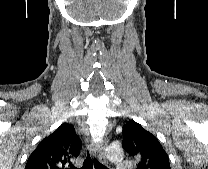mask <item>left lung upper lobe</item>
<instances>
[{"label": "left lung upper lobe", "mask_w": 208, "mask_h": 169, "mask_svg": "<svg viewBox=\"0 0 208 169\" xmlns=\"http://www.w3.org/2000/svg\"><path fill=\"white\" fill-rule=\"evenodd\" d=\"M123 148L137 162V169H171L158 139L135 121L123 126Z\"/></svg>", "instance_id": "obj_1"}]
</instances>
